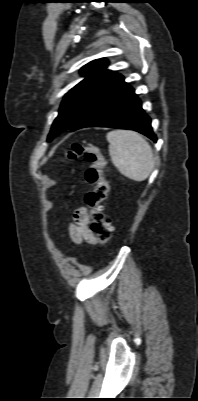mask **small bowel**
Segmentation results:
<instances>
[{"instance_id":"obj_1","label":"small bowel","mask_w":198,"mask_h":401,"mask_svg":"<svg viewBox=\"0 0 198 401\" xmlns=\"http://www.w3.org/2000/svg\"><path fill=\"white\" fill-rule=\"evenodd\" d=\"M69 236L76 244L97 242V238L89 227V213L85 206L75 210L72 222L69 224Z\"/></svg>"}]
</instances>
